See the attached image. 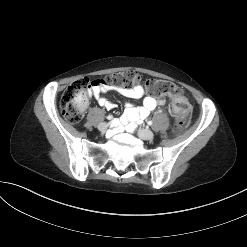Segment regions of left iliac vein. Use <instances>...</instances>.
<instances>
[{
    "label": "left iliac vein",
    "instance_id": "1",
    "mask_svg": "<svg viewBox=\"0 0 247 247\" xmlns=\"http://www.w3.org/2000/svg\"><path fill=\"white\" fill-rule=\"evenodd\" d=\"M137 134L143 140H151L154 138V133L148 129H139Z\"/></svg>",
    "mask_w": 247,
    "mask_h": 247
}]
</instances>
